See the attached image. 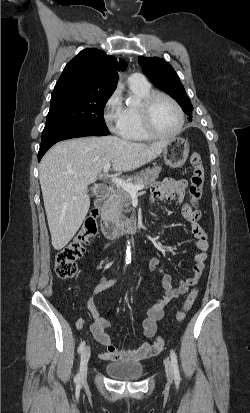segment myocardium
Returning a JSON list of instances; mask_svg holds the SVG:
<instances>
[{"instance_id": "myocardium-1", "label": "myocardium", "mask_w": 250, "mask_h": 413, "mask_svg": "<svg viewBox=\"0 0 250 413\" xmlns=\"http://www.w3.org/2000/svg\"><path fill=\"white\" fill-rule=\"evenodd\" d=\"M158 98H164V99L168 100L169 102H171L173 104V106L176 108V110L179 114L178 127L172 133H168V134L160 133L155 129V127L153 125L152 109H153L154 102ZM139 109H140V115H141L143 129L150 138H153V139H171V138H174V137L178 136L182 132V129H183L184 124H185L184 111H183L182 107L180 106V104L172 96H170L169 94L161 92V91H151L149 94H147L141 100L140 105H139Z\"/></svg>"}]
</instances>
